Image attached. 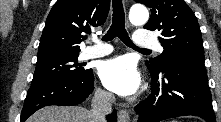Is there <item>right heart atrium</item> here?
<instances>
[{
	"instance_id": "right-heart-atrium-1",
	"label": "right heart atrium",
	"mask_w": 221,
	"mask_h": 122,
	"mask_svg": "<svg viewBox=\"0 0 221 122\" xmlns=\"http://www.w3.org/2000/svg\"><path fill=\"white\" fill-rule=\"evenodd\" d=\"M97 95L101 98V99H108V94L105 92V91H103V90H101V89H99L98 91H97Z\"/></svg>"
}]
</instances>
